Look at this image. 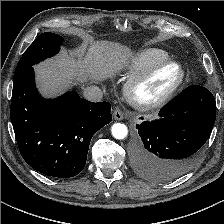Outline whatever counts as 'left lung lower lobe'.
<instances>
[{
    "mask_svg": "<svg viewBox=\"0 0 224 224\" xmlns=\"http://www.w3.org/2000/svg\"><path fill=\"white\" fill-rule=\"evenodd\" d=\"M215 118L212 93L199 85L187 87L160 110L158 119L136 125L135 171L157 182L183 175L198 161Z\"/></svg>",
    "mask_w": 224,
    "mask_h": 224,
    "instance_id": "obj_1",
    "label": "left lung lower lobe"
}]
</instances>
